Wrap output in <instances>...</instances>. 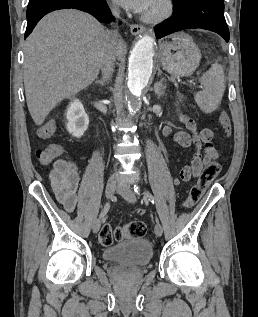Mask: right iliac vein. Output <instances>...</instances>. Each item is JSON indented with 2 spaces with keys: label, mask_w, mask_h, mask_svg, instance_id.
Returning <instances> with one entry per match:
<instances>
[{
  "label": "right iliac vein",
  "mask_w": 258,
  "mask_h": 317,
  "mask_svg": "<svg viewBox=\"0 0 258 317\" xmlns=\"http://www.w3.org/2000/svg\"><path fill=\"white\" fill-rule=\"evenodd\" d=\"M119 184V181L117 179H110L105 187V195L106 197H113L114 192L116 190L117 185ZM93 232L94 233H99V229L101 227V221L95 220L93 224Z\"/></svg>",
  "instance_id": "1"
}]
</instances>
